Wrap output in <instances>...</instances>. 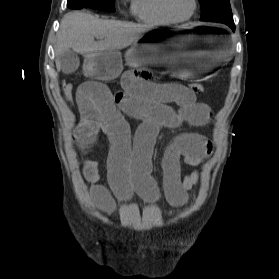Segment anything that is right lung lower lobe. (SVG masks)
<instances>
[{
    "mask_svg": "<svg viewBox=\"0 0 279 279\" xmlns=\"http://www.w3.org/2000/svg\"><path fill=\"white\" fill-rule=\"evenodd\" d=\"M81 8H83V6H76V7L72 8V9H81Z\"/></svg>",
    "mask_w": 279,
    "mask_h": 279,
    "instance_id": "1",
    "label": "right lung lower lobe"
}]
</instances>
